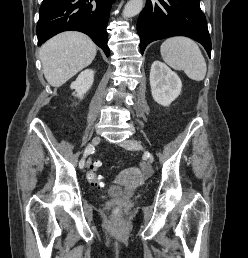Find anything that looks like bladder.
Instances as JSON below:
<instances>
[{
    "instance_id": "obj_1",
    "label": "bladder",
    "mask_w": 248,
    "mask_h": 258,
    "mask_svg": "<svg viewBox=\"0 0 248 258\" xmlns=\"http://www.w3.org/2000/svg\"><path fill=\"white\" fill-rule=\"evenodd\" d=\"M136 193L134 191L127 190L121 186H111L106 191H104V196H122V197H132Z\"/></svg>"
}]
</instances>
